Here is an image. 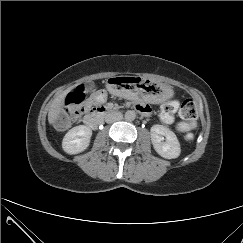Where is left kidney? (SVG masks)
<instances>
[{
	"label": "left kidney",
	"mask_w": 243,
	"mask_h": 243,
	"mask_svg": "<svg viewBox=\"0 0 243 243\" xmlns=\"http://www.w3.org/2000/svg\"><path fill=\"white\" fill-rule=\"evenodd\" d=\"M155 151L163 158L174 159L181 153L180 143L173 131L163 125H153L150 129Z\"/></svg>",
	"instance_id": "left-kidney-1"
}]
</instances>
